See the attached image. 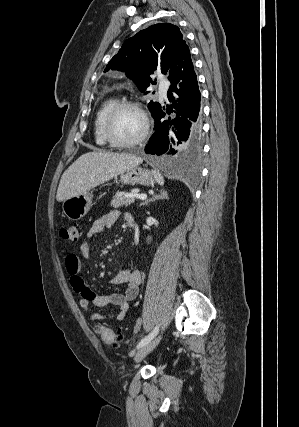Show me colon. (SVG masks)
<instances>
[{
    "mask_svg": "<svg viewBox=\"0 0 299 427\" xmlns=\"http://www.w3.org/2000/svg\"><path fill=\"white\" fill-rule=\"evenodd\" d=\"M60 236L67 241L78 242L80 240L79 226L77 224H69L62 227L60 229ZM95 331L107 345L118 346L121 343V337L103 324H96Z\"/></svg>",
    "mask_w": 299,
    "mask_h": 427,
    "instance_id": "obj_1",
    "label": "colon"
}]
</instances>
